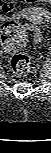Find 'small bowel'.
<instances>
[{
    "label": "small bowel",
    "mask_w": 51,
    "mask_h": 153,
    "mask_svg": "<svg viewBox=\"0 0 51 153\" xmlns=\"http://www.w3.org/2000/svg\"><path fill=\"white\" fill-rule=\"evenodd\" d=\"M2 9L5 13L9 12L10 10L13 9V5L12 3H4L2 6ZM38 21H41L42 19L40 17H38L37 19Z\"/></svg>",
    "instance_id": "1"
}]
</instances>
